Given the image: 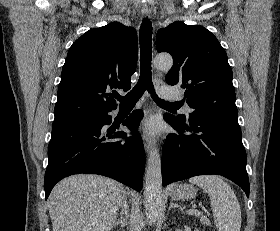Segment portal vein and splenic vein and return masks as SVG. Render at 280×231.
Segmentation results:
<instances>
[{"label":"portal vein and splenic vein","mask_w":280,"mask_h":231,"mask_svg":"<svg viewBox=\"0 0 280 231\" xmlns=\"http://www.w3.org/2000/svg\"><path fill=\"white\" fill-rule=\"evenodd\" d=\"M189 215H202V211H198V209H188Z\"/></svg>","instance_id":"obj_1"}]
</instances>
